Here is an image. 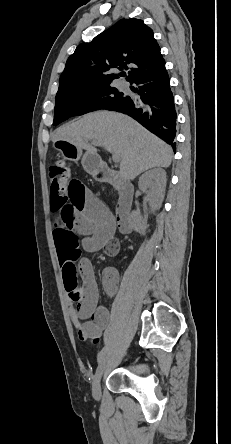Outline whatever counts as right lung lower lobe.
Segmentation results:
<instances>
[{"mask_svg": "<svg viewBox=\"0 0 231 444\" xmlns=\"http://www.w3.org/2000/svg\"><path fill=\"white\" fill-rule=\"evenodd\" d=\"M131 83L139 87L137 92L142 95L141 100L125 96L109 110L128 114L175 149L177 114L165 66Z\"/></svg>", "mask_w": 231, "mask_h": 444, "instance_id": "98d812e1", "label": "right lung lower lobe"}]
</instances>
